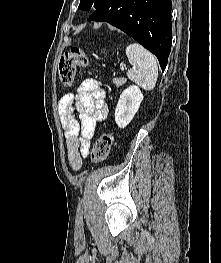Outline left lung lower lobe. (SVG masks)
Masks as SVG:
<instances>
[{"mask_svg":"<svg viewBox=\"0 0 221 263\" xmlns=\"http://www.w3.org/2000/svg\"><path fill=\"white\" fill-rule=\"evenodd\" d=\"M171 0H105L88 21L108 22L124 31L166 68L172 43Z\"/></svg>","mask_w":221,"mask_h":263,"instance_id":"0a47b994","label":"left lung lower lobe"}]
</instances>
